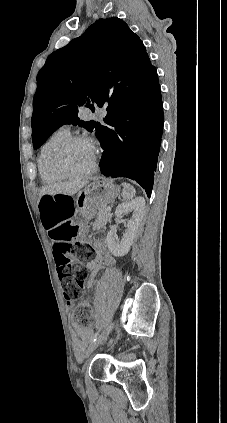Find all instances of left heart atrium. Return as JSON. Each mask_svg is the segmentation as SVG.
I'll return each mask as SVG.
<instances>
[{
  "mask_svg": "<svg viewBox=\"0 0 227 423\" xmlns=\"http://www.w3.org/2000/svg\"><path fill=\"white\" fill-rule=\"evenodd\" d=\"M90 143H91V147L94 149V151H95V148H96V141H90Z\"/></svg>",
  "mask_w": 227,
  "mask_h": 423,
  "instance_id": "obj_1",
  "label": "left heart atrium"
}]
</instances>
